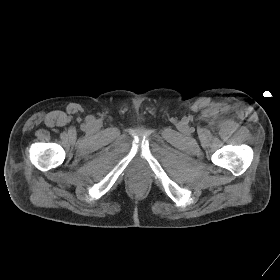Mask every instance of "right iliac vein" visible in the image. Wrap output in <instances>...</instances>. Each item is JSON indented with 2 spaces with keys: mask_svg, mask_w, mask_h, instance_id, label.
Segmentation results:
<instances>
[{
  "mask_svg": "<svg viewBox=\"0 0 280 280\" xmlns=\"http://www.w3.org/2000/svg\"><path fill=\"white\" fill-rule=\"evenodd\" d=\"M92 126H93L94 128H97V127L99 126V124L94 122V123L92 124Z\"/></svg>",
  "mask_w": 280,
  "mask_h": 280,
  "instance_id": "1",
  "label": "right iliac vein"
}]
</instances>
